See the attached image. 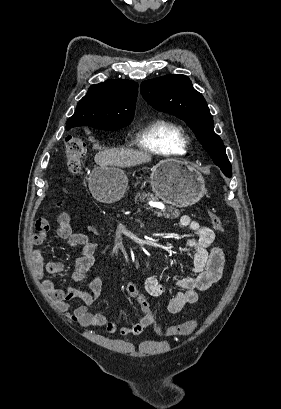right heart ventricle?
<instances>
[{
	"label": "right heart ventricle",
	"instance_id": "obj_1",
	"mask_svg": "<svg viewBox=\"0 0 281 409\" xmlns=\"http://www.w3.org/2000/svg\"><path fill=\"white\" fill-rule=\"evenodd\" d=\"M143 138L150 151L161 156H182L186 153L185 132L180 124L166 118L151 121Z\"/></svg>",
	"mask_w": 281,
	"mask_h": 409
}]
</instances>
